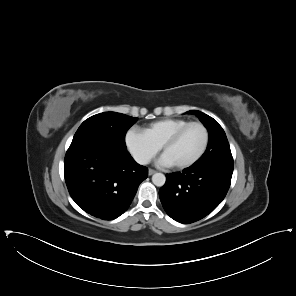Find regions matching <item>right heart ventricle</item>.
<instances>
[{"instance_id":"obj_1","label":"right heart ventricle","mask_w":296,"mask_h":296,"mask_svg":"<svg viewBox=\"0 0 296 296\" xmlns=\"http://www.w3.org/2000/svg\"><path fill=\"white\" fill-rule=\"evenodd\" d=\"M188 123L189 121L185 119H163L151 124L144 133L151 141L162 147L173 133Z\"/></svg>"}]
</instances>
